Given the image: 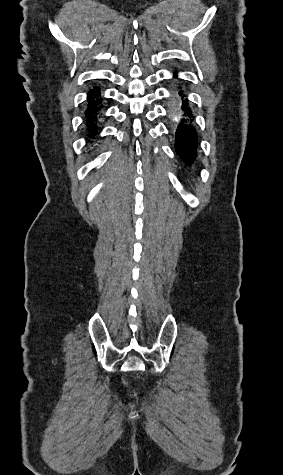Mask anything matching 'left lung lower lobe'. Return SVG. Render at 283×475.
<instances>
[{"label":"left lung lower lobe","mask_w":283,"mask_h":475,"mask_svg":"<svg viewBox=\"0 0 283 475\" xmlns=\"http://www.w3.org/2000/svg\"><path fill=\"white\" fill-rule=\"evenodd\" d=\"M177 77V75H174ZM184 96L183 93H179ZM188 99L183 100L182 110H185L184 123L176 130V152L187 165H192L199 156V137L194 123V115L188 106Z\"/></svg>","instance_id":"0a47b994"}]
</instances>
